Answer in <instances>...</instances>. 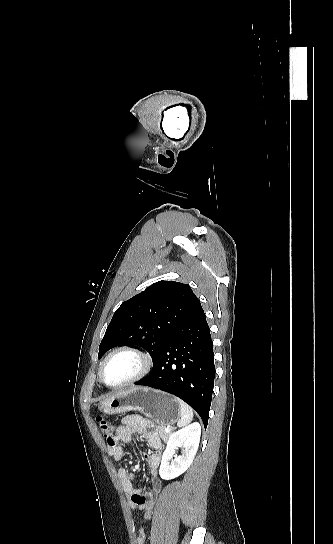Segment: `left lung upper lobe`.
I'll return each mask as SVG.
<instances>
[{"mask_svg":"<svg viewBox=\"0 0 333 544\" xmlns=\"http://www.w3.org/2000/svg\"><path fill=\"white\" fill-rule=\"evenodd\" d=\"M197 301L189 285L173 281L152 284L116 310L98 358L117 345L134 344L148 351L154 362Z\"/></svg>","mask_w":333,"mask_h":544,"instance_id":"5c2ea615","label":"left lung upper lobe"}]
</instances>
